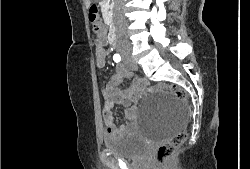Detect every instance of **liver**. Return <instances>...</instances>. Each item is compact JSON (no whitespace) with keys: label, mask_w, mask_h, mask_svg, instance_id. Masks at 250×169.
Instances as JSON below:
<instances>
[{"label":"liver","mask_w":250,"mask_h":169,"mask_svg":"<svg viewBox=\"0 0 250 169\" xmlns=\"http://www.w3.org/2000/svg\"><path fill=\"white\" fill-rule=\"evenodd\" d=\"M84 2H85V4H86L87 8H88V6H90V4H91V0H84Z\"/></svg>","instance_id":"liver-1"}]
</instances>
